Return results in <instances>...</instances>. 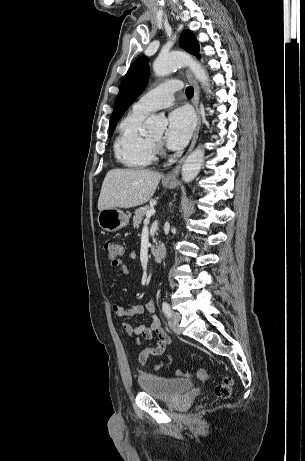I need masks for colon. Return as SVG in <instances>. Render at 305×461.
I'll use <instances>...</instances> for the list:
<instances>
[{"label":"colon","mask_w":305,"mask_h":461,"mask_svg":"<svg viewBox=\"0 0 305 461\" xmlns=\"http://www.w3.org/2000/svg\"><path fill=\"white\" fill-rule=\"evenodd\" d=\"M104 250L112 264L117 263L124 254V247L122 243L113 239H108L104 242ZM198 377L201 380H206L208 378L207 370L205 368H199ZM232 385V378L228 375H222L221 381L214 388L216 397L222 399L228 398L231 393Z\"/></svg>","instance_id":"1"}]
</instances>
